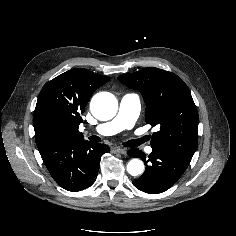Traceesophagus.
Returning <instances> with one entry per match:
<instances>
[{"instance_id":"34e87169","label":"esophagus","mask_w":236,"mask_h":236,"mask_svg":"<svg viewBox=\"0 0 236 236\" xmlns=\"http://www.w3.org/2000/svg\"><path fill=\"white\" fill-rule=\"evenodd\" d=\"M112 153L126 154L127 150L123 147H114L112 148Z\"/></svg>"}]
</instances>
